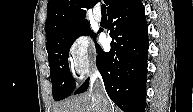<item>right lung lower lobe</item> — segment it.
<instances>
[{"label": "right lung lower lobe", "mask_w": 193, "mask_h": 112, "mask_svg": "<svg viewBox=\"0 0 193 112\" xmlns=\"http://www.w3.org/2000/svg\"><path fill=\"white\" fill-rule=\"evenodd\" d=\"M111 50L97 47V67L111 100L125 112H144L148 27L140 0H124L108 14ZM87 79L74 94L88 89Z\"/></svg>", "instance_id": "98d812e1"}]
</instances>
